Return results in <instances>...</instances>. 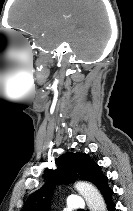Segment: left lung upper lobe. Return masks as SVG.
I'll return each mask as SVG.
<instances>
[{
    "label": "left lung upper lobe",
    "mask_w": 133,
    "mask_h": 211,
    "mask_svg": "<svg viewBox=\"0 0 133 211\" xmlns=\"http://www.w3.org/2000/svg\"><path fill=\"white\" fill-rule=\"evenodd\" d=\"M55 170H46L47 182L26 200L22 211H47L56 185L73 183L75 180H87L100 190L108 187V178L100 166L85 153L68 152L56 159Z\"/></svg>",
    "instance_id": "left-lung-upper-lobe-1"
}]
</instances>
